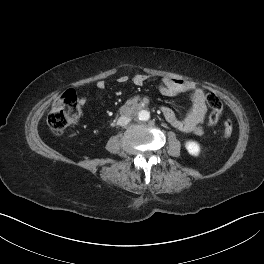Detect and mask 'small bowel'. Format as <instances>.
I'll use <instances>...</instances> for the list:
<instances>
[{"label":"small bowel","mask_w":264,"mask_h":264,"mask_svg":"<svg viewBox=\"0 0 264 264\" xmlns=\"http://www.w3.org/2000/svg\"><path fill=\"white\" fill-rule=\"evenodd\" d=\"M148 79L149 76L146 74H135L131 77L121 76L117 79V83L123 85L130 82L136 86H142ZM97 88L101 91L105 90V81H98ZM159 91L166 96L187 93L191 100V108L184 117H178L171 108L166 106L161 108L162 114L167 122L181 132L198 135L203 133V123L207 113L204 89L191 81L164 78L159 84ZM80 103L84 105L87 100L83 98Z\"/></svg>","instance_id":"1"}]
</instances>
